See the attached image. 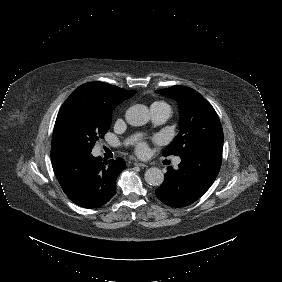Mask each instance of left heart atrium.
Wrapping results in <instances>:
<instances>
[{
    "mask_svg": "<svg viewBox=\"0 0 282 282\" xmlns=\"http://www.w3.org/2000/svg\"><path fill=\"white\" fill-rule=\"evenodd\" d=\"M146 147L145 146H140L138 149L139 154L143 155L146 153Z\"/></svg>",
    "mask_w": 282,
    "mask_h": 282,
    "instance_id": "obj_1",
    "label": "left heart atrium"
}]
</instances>
